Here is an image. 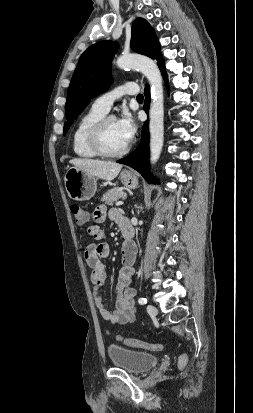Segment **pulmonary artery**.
<instances>
[{
    "label": "pulmonary artery",
    "instance_id": "obj_1",
    "mask_svg": "<svg viewBox=\"0 0 253 413\" xmlns=\"http://www.w3.org/2000/svg\"><path fill=\"white\" fill-rule=\"evenodd\" d=\"M138 90V85L136 83L126 82L123 85L115 88L114 90L99 96L93 102L92 107L103 113H107L115 100L119 99L123 95H136L138 93Z\"/></svg>",
    "mask_w": 253,
    "mask_h": 413
}]
</instances>
